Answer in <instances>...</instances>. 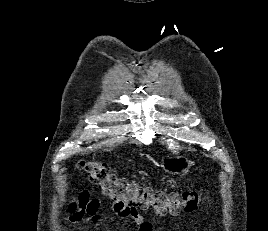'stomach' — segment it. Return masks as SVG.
<instances>
[{
	"mask_svg": "<svg viewBox=\"0 0 268 231\" xmlns=\"http://www.w3.org/2000/svg\"><path fill=\"white\" fill-rule=\"evenodd\" d=\"M192 166H194V162L186 155L167 156L161 163V168L171 175H184Z\"/></svg>",
	"mask_w": 268,
	"mask_h": 231,
	"instance_id": "1",
	"label": "stomach"
}]
</instances>
